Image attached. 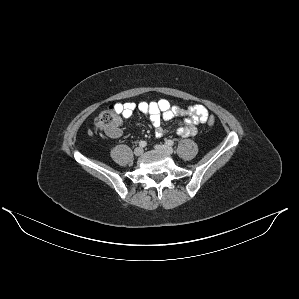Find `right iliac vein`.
Masks as SVG:
<instances>
[{
	"instance_id": "63e3f726",
	"label": "right iliac vein",
	"mask_w": 299,
	"mask_h": 299,
	"mask_svg": "<svg viewBox=\"0 0 299 299\" xmlns=\"http://www.w3.org/2000/svg\"><path fill=\"white\" fill-rule=\"evenodd\" d=\"M142 153H143V148H141V147H137V148H135V150H134V154H135L136 156H140V155H142Z\"/></svg>"
}]
</instances>
